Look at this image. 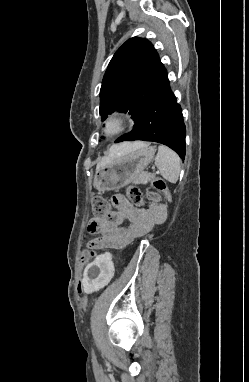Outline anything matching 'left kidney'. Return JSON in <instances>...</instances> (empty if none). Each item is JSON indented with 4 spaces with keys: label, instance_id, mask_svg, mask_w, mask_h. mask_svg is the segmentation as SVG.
Here are the masks:
<instances>
[{
    "label": "left kidney",
    "instance_id": "obj_1",
    "mask_svg": "<svg viewBox=\"0 0 249 382\" xmlns=\"http://www.w3.org/2000/svg\"><path fill=\"white\" fill-rule=\"evenodd\" d=\"M97 267L98 270H85L81 276V286L83 292L82 297L91 298L92 293H101L102 288H107L109 281L116 276V266H113L112 256L110 253L102 252L95 260L87 267Z\"/></svg>",
    "mask_w": 249,
    "mask_h": 382
}]
</instances>
